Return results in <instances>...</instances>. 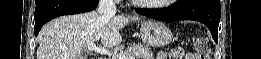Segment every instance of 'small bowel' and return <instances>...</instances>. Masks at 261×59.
I'll return each mask as SVG.
<instances>
[{
    "label": "small bowel",
    "instance_id": "c3829d8e",
    "mask_svg": "<svg viewBox=\"0 0 261 59\" xmlns=\"http://www.w3.org/2000/svg\"><path fill=\"white\" fill-rule=\"evenodd\" d=\"M188 57H194L193 54H187ZM172 57L169 55V53L161 52L159 53L157 59H171ZM189 59H195V58H189Z\"/></svg>",
    "mask_w": 261,
    "mask_h": 59
}]
</instances>
